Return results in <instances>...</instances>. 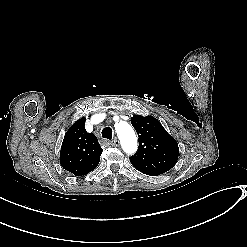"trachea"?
Instances as JSON below:
<instances>
[{"mask_svg":"<svg viewBox=\"0 0 247 247\" xmlns=\"http://www.w3.org/2000/svg\"><path fill=\"white\" fill-rule=\"evenodd\" d=\"M112 135H113V133H112V129H111V128L106 127V128H104V129L102 130V137H103L104 139L111 140V139H112Z\"/></svg>","mask_w":247,"mask_h":247,"instance_id":"1","label":"trachea"}]
</instances>
